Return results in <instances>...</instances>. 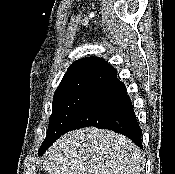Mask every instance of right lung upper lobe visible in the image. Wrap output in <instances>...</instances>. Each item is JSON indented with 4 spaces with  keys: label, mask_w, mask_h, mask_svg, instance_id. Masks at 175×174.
I'll use <instances>...</instances> for the list:
<instances>
[{
    "label": "right lung upper lobe",
    "mask_w": 175,
    "mask_h": 174,
    "mask_svg": "<svg viewBox=\"0 0 175 174\" xmlns=\"http://www.w3.org/2000/svg\"><path fill=\"white\" fill-rule=\"evenodd\" d=\"M116 72V69L102 58L92 56L79 59L68 68L55 91V96L91 92Z\"/></svg>",
    "instance_id": "1"
}]
</instances>
